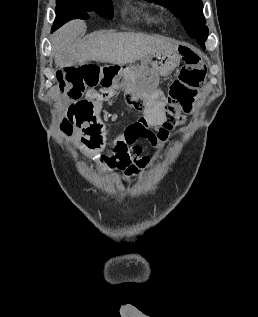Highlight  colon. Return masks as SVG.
Returning <instances> with one entry per match:
<instances>
[{"label": "colon", "instance_id": "colon-1", "mask_svg": "<svg viewBox=\"0 0 258 317\" xmlns=\"http://www.w3.org/2000/svg\"><path fill=\"white\" fill-rule=\"evenodd\" d=\"M181 54L184 66L168 92L165 103V129L175 128L183 122L185 115L191 111L206 76V66L197 49L183 47ZM57 80L60 91L74 102L82 100L87 90L109 84L119 86L129 103L135 107H146L147 99L151 98V95L135 81L129 70L111 64L100 65L89 61L69 64L57 76ZM60 127L62 132L70 137L75 128L74 119L65 115Z\"/></svg>", "mask_w": 258, "mask_h": 317}]
</instances>
